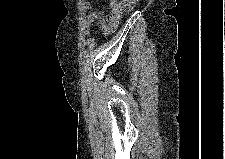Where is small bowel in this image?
I'll use <instances>...</instances> for the list:
<instances>
[{"mask_svg":"<svg viewBox=\"0 0 225 159\" xmlns=\"http://www.w3.org/2000/svg\"><path fill=\"white\" fill-rule=\"evenodd\" d=\"M83 9L87 12L82 20V34L84 37L90 36L91 26L94 23L102 28L105 35L110 32V27L106 24L102 13L98 10L97 6L89 2H84Z\"/></svg>","mask_w":225,"mask_h":159,"instance_id":"c3829d8e","label":"small bowel"}]
</instances>
